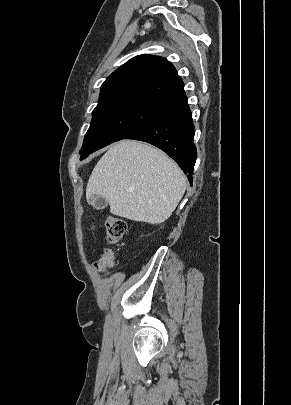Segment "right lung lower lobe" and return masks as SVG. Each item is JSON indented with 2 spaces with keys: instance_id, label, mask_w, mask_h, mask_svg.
Listing matches in <instances>:
<instances>
[{
  "instance_id": "right-lung-lower-lobe-1",
  "label": "right lung lower lobe",
  "mask_w": 291,
  "mask_h": 405,
  "mask_svg": "<svg viewBox=\"0 0 291 405\" xmlns=\"http://www.w3.org/2000/svg\"><path fill=\"white\" fill-rule=\"evenodd\" d=\"M194 133L192 113L184 94L150 123L125 139L144 141L160 148L178 163L191 183L197 159Z\"/></svg>"
}]
</instances>
